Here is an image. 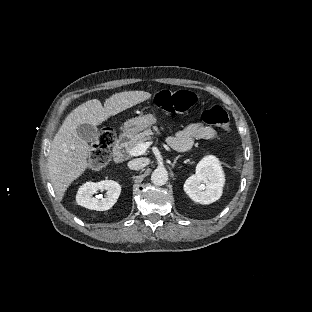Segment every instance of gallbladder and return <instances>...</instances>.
I'll return each instance as SVG.
<instances>
[{
	"label": "gallbladder",
	"mask_w": 312,
	"mask_h": 312,
	"mask_svg": "<svg viewBox=\"0 0 312 312\" xmlns=\"http://www.w3.org/2000/svg\"><path fill=\"white\" fill-rule=\"evenodd\" d=\"M78 136L86 142H92L97 137V128L90 124H81L77 127Z\"/></svg>",
	"instance_id": "obj_1"
}]
</instances>
